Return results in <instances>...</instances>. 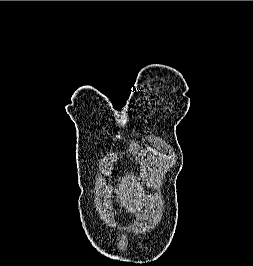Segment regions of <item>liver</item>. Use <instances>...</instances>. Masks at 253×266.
Returning <instances> with one entry per match:
<instances>
[{"label": "liver", "mask_w": 253, "mask_h": 266, "mask_svg": "<svg viewBox=\"0 0 253 266\" xmlns=\"http://www.w3.org/2000/svg\"><path fill=\"white\" fill-rule=\"evenodd\" d=\"M129 192H130V189H126V191L124 192V197L126 198L127 196H129ZM130 201V200H129ZM123 205H126V202L123 201Z\"/></svg>", "instance_id": "6515ba94"}]
</instances>
